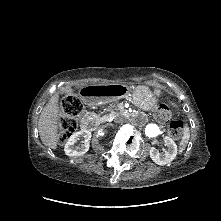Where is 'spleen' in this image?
I'll return each mask as SVG.
<instances>
[{"label": "spleen", "instance_id": "3e777b00", "mask_svg": "<svg viewBox=\"0 0 221 221\" xmlns=\"http://www.w3.org/2000/svg\"><path fill=\"white\" fill-rule=\"evenodd\" d=\"M189 140V130L186 129L184 136H183V144L185 145Z\"/></svg>", "mask_w": 221, "mask_h": 221}]
</instances>
